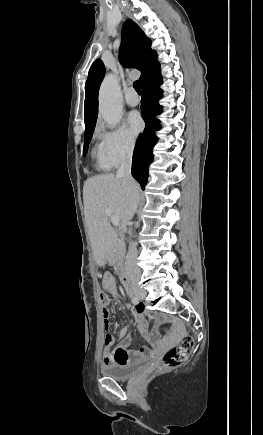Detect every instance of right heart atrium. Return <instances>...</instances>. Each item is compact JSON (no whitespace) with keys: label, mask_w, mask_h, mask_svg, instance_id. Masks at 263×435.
Segmentation results:
<instances>
[{"label":"right heart atrium","mask_w":263,"mask_h":435,"mask_svg":"<svg viewBox=\"0 0 263 435\" xmlns=\"http://www.w3.org/2000/svg\"><path fill=\"white\" fill-rule=\"evenodd\" d=\"M98 136L105 157L112 166H117L132 156L136 142L125 126L110 129L99 127Z\"/></svg>","instance_id":"obj_1"}]
</instances>
